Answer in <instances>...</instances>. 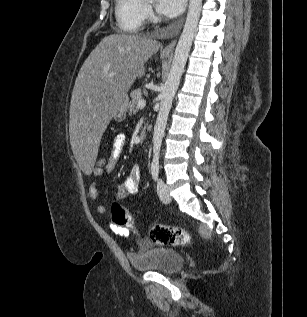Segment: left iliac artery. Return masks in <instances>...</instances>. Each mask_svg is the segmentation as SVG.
Masks as SVG:
<instances>
[{
    "mask_svg": "<svg viewBox=\"0 0 307 317\" xmlns=\"http://www.w3.org/2000/svg\"><path fill=\"white\" fill-rule=\"evenodd\" d=\"M151 173H152L153 179L156 181L158 179V176H159V166L158 165L152 166Z\"/></svg>",
    "mask_w": 307,
    "mask_h": 317,
    "instance_id": "left-iliac-artery-1",
    "label": "left iliac artery"
}]
</instances>
